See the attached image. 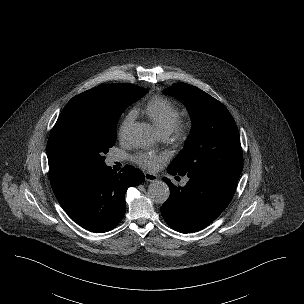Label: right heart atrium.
Wrapping results in <instances>:
<instances>
[{"instance_id": "obj_1", "label": "right heart atrium", "mask_w": 304, "mask_h": 304, "mask_svg": "<svg viewBox=\"0 0 304 304\" xmlns=\"http://www.w3.org/2000/svg\"><path fill=\"white\" fill-rule=\"evenodd\" d=\"M135 118V114L134 112H129L122 120L120 127H119V131H118V135L120 138H124L130 125L132 124L133 120Z\"/></svg>"}]
</instances>
